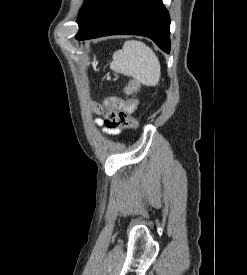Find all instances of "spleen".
I'll list each match as a JSON object with an SVG mask.
<instances>
[{"instance_id":"3e777b00","label":"spleen","mask_w":247,"mask_h":275,"mask_svg":"<svg viewBox=\"0 0 247 275\" xmlns=\"http://www.w3.org/2000/svg\"><path fill=\"white\" fill-rule=\"evenodd\" d=\"M110 68L146 86L157 85L161 77L158 57L150 47L136 40L126 41L123 48L113 54Z\"/></svg>"}]
</instances>
